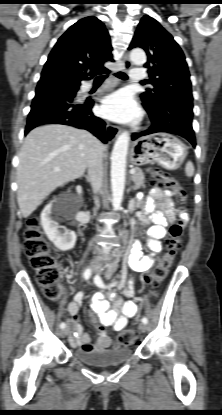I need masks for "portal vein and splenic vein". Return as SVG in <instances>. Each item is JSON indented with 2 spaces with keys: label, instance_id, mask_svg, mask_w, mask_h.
Here are the masks:
<instances>
[{
  "label": "portal vein and splenic vein",
  "instance_id": "18ae733b",
  "mask_svg": "<svg viewBox=\"0 0 222 415\" xmlns=\"http://www.w3.org/2000/svg\"><path fill=\"white\" fill-rule=\"evenodd\" d=\"M135 173V170L134 169H131L130 170V174H134Z\"/></svg>",
  "mask_w": 222,
  "mask_h": 415
}]
</instances>
